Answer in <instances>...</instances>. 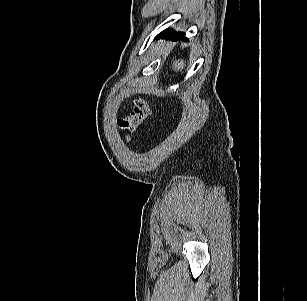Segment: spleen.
Segmentation results:
<instances>
[{
  "mask_svg": "<svg viewBox=\"0 0 307 301\" xmlns=\"http://www.w3.org/2000/svg\"><path fill=\"white\" fill-rule=\"evenodd\" d=\"M184 66H185L184 60H178V61L176 60L173 62V65H172L175 71L183 70Z\"/></svg>",
  "mask_w": 307,
  "mask_h": 301,
  "instance_id": "spleen-1",
  "label": "spleen"
}]
</instances>
